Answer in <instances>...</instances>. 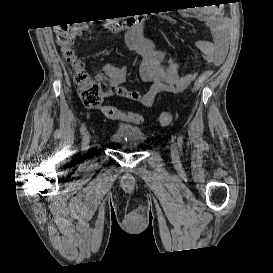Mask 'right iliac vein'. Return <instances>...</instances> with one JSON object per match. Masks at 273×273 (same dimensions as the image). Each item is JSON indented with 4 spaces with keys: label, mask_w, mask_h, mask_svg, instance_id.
<instances>
[{
    "label": "right iliac vein",
    "mask_w": 273,
    "mask_h": 273,
    "mask_svg": "<svg viewBox=\"0 0 273 273\" xmlns=\"http://www.w3.org/2000/svg\"><path fill=\"white\" fill-rule=\"evenodd\" d=\"M89 143H90V134H89V132L86 131L83 134V139H82L83 150H87L89 148Z\"/></svg>",
    "instance_id": "1"
}]
</instances>
